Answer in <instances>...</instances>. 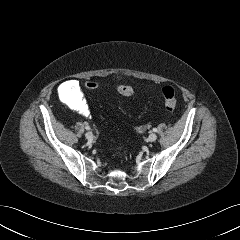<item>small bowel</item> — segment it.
Instances as JSON below:
<instances>
[{"label":"small bowel","instance_id":"1","mask_svg":"<svg viewBox=\"0 0 240 240\" xmlns=\"http://www.w3.org/2000/svg\"><path fill=\"white\" fill-rule=\"evenodd\" d=\"M60 93L66 103L75 111L83 116L89 115V109L81 93L79 82L69 80L64 82L60 87ZM146 131L145 125H140L135 128V132L143 134Z\"/></svg>","mask_w":240,"mask_h":240}]
</instances>
